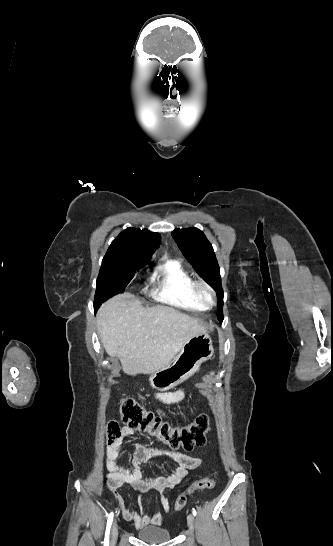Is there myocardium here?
<instances>
[{"instance_id": "f54148a6", "label": "myocardium", "mask_w": 333, "mask_h": 546, "mask_svg": "<svg viewBox=\"0 0 333 546\" xmlns=\"http://www.w3.org/2000/svg\"><path fill=\"white\" fill-rule=\"evenodd\" d=\"M202 290H206L209 292L210 294L209 299H206L203 296ZM192 292L194 297L207 308L214 306L217 301V295H216L215 289L207 281L203 279H197L193 281Z\"/></svg>"}]
</instances>
